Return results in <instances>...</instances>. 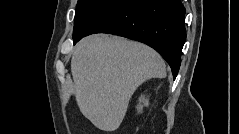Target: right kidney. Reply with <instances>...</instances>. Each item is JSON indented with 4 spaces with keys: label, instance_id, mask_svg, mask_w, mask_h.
Masks as SVG:
<instances>
[{
    "label": "right kidney",
    "instance_id": "1",
    "mask_svg": "<svg viewBox=\"0 0 239 134\" xmlns=\"http://www.w3.org/2000/svg\"><path fill=\"white\" fill-rule=\"evenodd\" d=\"M148 105H149V100L145 98V96L141 95L139 98V104L137 105L138 113H141L143 110V107Z\"/></svg>",
    "mask_w": 239,
    "mask_h": 134
}]
</instances>
